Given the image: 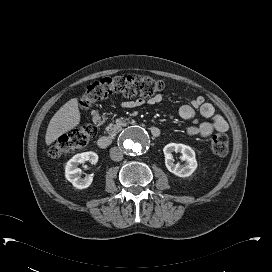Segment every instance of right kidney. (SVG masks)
Listing matches in <instances>:
<instances>
[{"label":"right kidney","mask_w":272,"mask_h":272,"mask_svg":"<svg viewBox=\"0 0 272 272\" xmlns=\"http://www.w3.org/2000/svg\"><path fill=\"white\" fill-rule=\"evenodd\" d=\"M86 161L96 164L98 161V155L94 152H84L74 155L65 166V177L72 185L78 189L88 188L92 181V175L81 178L79 176L81 170L77 167L79 164Z\"/></svg>","instance_id":"ca27d5eb"}]
</instances>
